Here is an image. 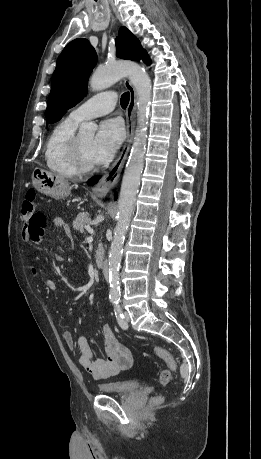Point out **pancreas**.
<instances>
[{
  "label": "pancreas",
  "mask_w": 261,
  "mask_h": 459,
  "mask_svg": "<svg viewBox=\"0 0 261 459\" xmlns=\"http://www.w3.org/2000/svg\"><path fill=\"white\" fill-rule=\"evenodd\" d=\"M89 222H90L89 214L87 212L80 213L77 215V217L73 221V228L74 230H77L83 233L85 226L88 225ZM102 252H103V248L101 245H99L97 252H96L97 261L101 259Z\"/></svg>",
  "instance_id": "cf45deb5"
}]
</instances>
